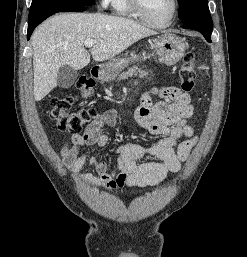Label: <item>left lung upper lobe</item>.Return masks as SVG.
<instances>
[{
  "mask_svg": "<svg viewBox=\"0 0 247 257\" xmlns=\"http://www.w3.org/2000/svg\"><path fill=\"white\" fill-rule=\"evenodd\" d=\"M178 2L181 20L200 19L212 23L207 0H178Z\"/></svg>",
  "mask_w": 247,
  "mask_h": 257,
  "instance_id": "left-lung-upper-lobe-1",
  "label": "left lung upper lobe"
}]
</instances>
